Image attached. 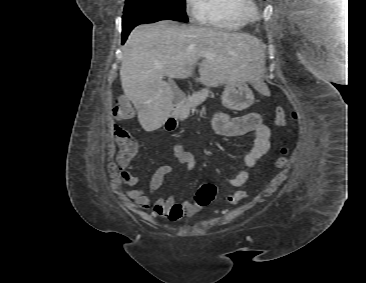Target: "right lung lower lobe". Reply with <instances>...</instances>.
I'll list each match as a JSON object with an SVG mask.
<instances>
[{
	"label": "right lung lower lobe",
	"mask_w": 366,
	"mask_h": 283,
	"mask_svg": "<svg viewBox=\"0 0 366 283\" xmlns=\"http://www.w3.org/2000/svg\"><path fill=\"white\" fill-rule=\"evenodd\" d=\"M133 28L134 26L122 28V44L125 42L127 36Z\"/></svg>",
	"instance_id": "obj_1"
}]
</instances>
